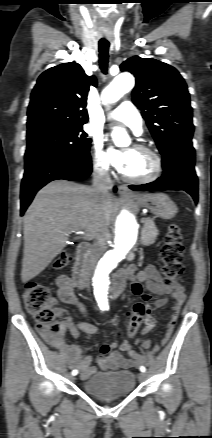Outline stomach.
I'll return each mask as SVG.
<instances>
[{
    "instance_id": "1",
    "label": "stomach",
    "mask_w": 212,
    "mask_h": 438,
    "mask_svg": "<svg viewBox=\"0 0 212 438\" xmlns=\"http://www.w3.org/2000/svg\"><path fill=\"white\" fill-rule=\"evenodd\" d=\"M135 201L139 205L149 208L155 216L163 219L173 218L178 211L175 203L163 193L141 194L135 198Z\"/></svg>"
}]
</instances>
